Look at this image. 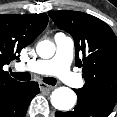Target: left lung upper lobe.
I'll list each match as a JSON object with an SVG mask.
<instances>
[{
	"label": "left lung upper lobe",
	"mask_w": 117,
	"mask_h": 117,
	"mask_svg": "<svg viewBox=\"0 0 117 117\" xmlns=\"http://www.w3.org/2000/svg\"><path fill=\"white\" fill-rule=\"evenodd\" d=\"M49 16L74 39L75 64L82 68L85 84L77 92L117 100V37L102 20L78 11L60 10Z\"/></svg>",
	"instance_id": "left-lung-upper-lobe-1"
}]
</instances>
